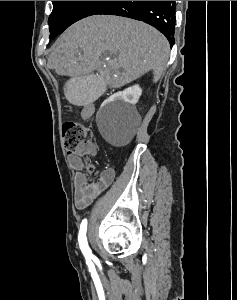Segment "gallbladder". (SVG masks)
Segmentation results:
<instances>
[{
  "label": "gallbladder",
  "instance_id": "1",
  "mask_svg": "<svg viewBox=\"0 0 237 300\" xmlns=\"http://www.w3.org/2000/svg\"><path fill=\"white\" fill-rule=\"evenodd\" d=\"M105 80L97 72H90L89 76H68L64 91L69 105H93L105 93Z\"/></svg>",
  "mask_w": 237,
  "mask_h": 300
}]
</instances>
